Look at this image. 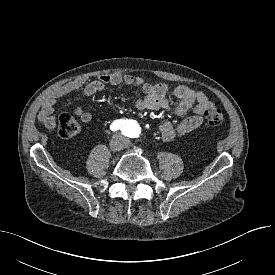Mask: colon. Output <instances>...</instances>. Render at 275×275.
Returning <instances> with one entry per match:
<instances>
[{
  "label": "colon",
  "instance_id": "5ec220e1",
  "mask_svg": "<svg viewBox=\"0 0 275 275\" xmlns=\"http://www.w3.org/2000/svg\"><path fill=\"white\" fill-rule=\"evenodd\" d=\"M203 115L209 126H219L224 122V115L219 109L207 110ZM57 130L61 138L69 139L79 133L80 125L71 114L64 113L59 117Z\"/></svg>",
  "mask_w": 275,
  "mask_h": 275
}]
</instances>
